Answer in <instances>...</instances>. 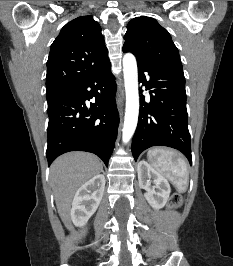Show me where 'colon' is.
I'll return each mask as SVG.
<instances>
[{"instance_id":"5ec220e1","label":"colon","mask_w":233,"mask_h":266,"mask_svg":"<svg viewBox=\"0 0 233 266\" xmlns=\"http://www.w3.org/2000/svg\"><path fill=\"white\" fill-rule=\"evenodd\" d=\"M182 196L175 193L169 199V206L170 208H177L182 204Z\"/></svg>"}]
</instances>
